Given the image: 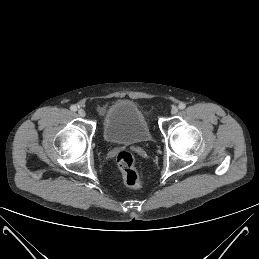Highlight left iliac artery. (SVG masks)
<instances>
[{
    "mask_svg": "<svg viewBox=\"0 0 259 259\" xmlns=\"http://www.w3.org/2000/svg\"><path fill=\"white\" fill-rule=\"evenodd\" d=\"M178 107H179V109L183 110V109H185L186 105H185V103L181 102Z\"/></svg>",
    "mask_w": 259,
    "mask_h": 259,
    "instance_id": "1",
    "label": "left iliac artery"
}]
</instances>
